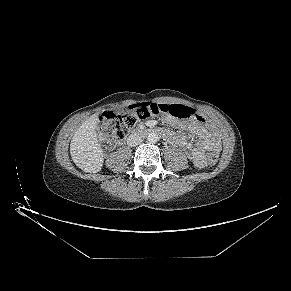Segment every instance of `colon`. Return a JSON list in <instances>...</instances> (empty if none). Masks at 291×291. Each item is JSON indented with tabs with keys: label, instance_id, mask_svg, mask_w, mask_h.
Returning <instances> with one entry per match:
<instances>
[{
	"label": "colon",
	"instance_id": "5ec220e1",
	"mask_svg": "<svg viewBox=\"0 0 291 291\" xmlns=\"http://www.w3.org/2000/svg\"><path fill=\"white\" fill-rule=\"evenodd\" d=\"M167 114L169 116L183 119H198L197 112L181 104H156L145 103L129 107L123 113L104 112L97 124V132L100 139H122L128 131L140 120ZM217 152L208 155V163L215 164L218 161Z\"/></svg>",
	"mask_w": 291,
	"mask_h": 291
}]
</instances>
